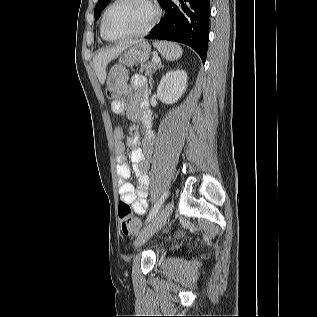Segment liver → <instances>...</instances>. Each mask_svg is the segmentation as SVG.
<instances>
[{
	"instance_id": "1",
	"label": "liver",
	"mask_w": 317,
	"mask_h": 317,
	"mask_svg": "<svg viewBox=\"0 0 317 317\" xmlns=\"http://www.w3.org/2000/svg\"><path fill=\"white\" fill-rule=\"evenodd\" d=\"M136 42H125L107 49L100 50L93 58V65L95 73L99 82L103 85L106 80V67L110 61L117 58L122 51L130 47Z\"/></svg>"
}]
</instances>
